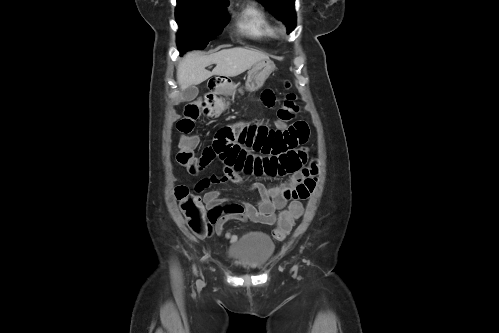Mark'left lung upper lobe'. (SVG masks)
Returning a JSON list of instances; mask_svg holds the SVG:
<instances>
[{
    "label": "left lung upper lobe",
    "mask_w": 499,
    "mask_h": 333,
    "mask_svg": "<svg viewBox=\"0 0 499 333\" xmlns=\"http://www.w3.org/2000/svg\"><path fill=\"white\" fill-rule=\"evenodd\" d=\"M280 21L287 26L290 33L296 26V16L294 11L295 0H257Z\"/></svg>",
    "instance_id": "1"
}]
</instances>
